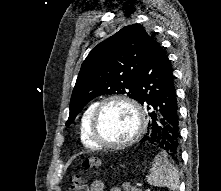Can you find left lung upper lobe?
Returning <instances> with one entry per match:
<instances>
[{
	"label": "left lung upper lobe",
	"instance_id": "5c2ea615",
	"mask_svg": "<svg viewBox=\"0 0 221 191\" xmlns=\"http://www.w3.org/2000/svg\"><path fill=\"white\" fill-rule=\"evenodd\" d=\"M153 37L133 24L99 43L83 62L70 100L69 125L80 110L100 95L138 97V77Z\"/></svg>",
	"mask_w": 221,
	"mask_h": 191
}]
</instances>
